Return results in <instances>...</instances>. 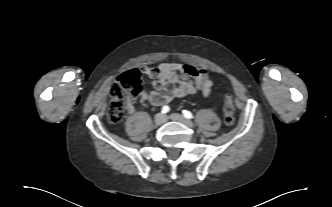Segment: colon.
Returning <instances> with one entry per match:
<instances>
[{
    "label": "colon",
    "instance_id": "obj_1",
    "mask_svg": "<svg viewBox=\"0 0 332 207\" xmlns=\"http://www.w3.org/2000/svg\"><path fill=\"white\" fill-rule=\"evenodd\" d=\"M141 92L142 80L138 70L134 69L122 74L111 88V100L107 111L108 120L113 123L122 120L129 102L139 96ZM223 113L225 123L232 125L235 121V107L230 95L225 97Z\"/></svg>",
    "mask_w": 332,
    "mask_h": 207
}]
</instances>
